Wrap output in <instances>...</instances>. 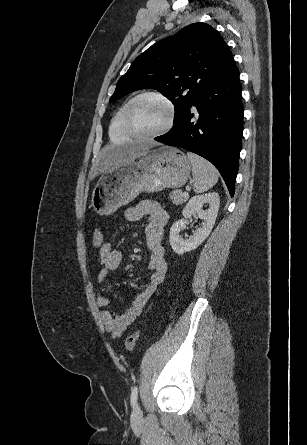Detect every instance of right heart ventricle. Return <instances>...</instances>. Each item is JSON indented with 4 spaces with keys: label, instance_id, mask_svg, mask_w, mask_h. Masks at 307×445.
I'll return each instance as SVG.
<instances>
[{
    "label": "right heart ventricle",
    "instance_id": "right-heart-ventricle-1",
    "mask_svg": "<svg viewBox=\"0 0 307 445\" xmlns=\"http://www.w3.org/2000/svg\"><path fill=\"white\" fill-rule=\"evenodd\" d=\"M111 140H130L131 136L125 124V107H123L112 119L109 127Z\"/></svg>",
    "mask_w": 307,
    "mask_h": 445
}]
</instances>
